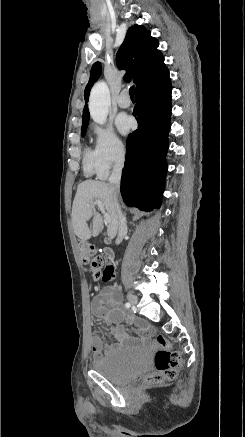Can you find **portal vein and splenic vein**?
Instances as JSON below:
<instances>
[{
    "instance_id": "portal-vein-and-splenic-vein-1",
    "label": "portal vein and splenic vein",
    "mask_w": 245,
    "mask_h": 437,
    "mask_svg": "<svg viewBox=\"0 0 245 437\" xmlns=\"http://www.w3.org/2000/svg\"><path fill=\"white\" fill-rule=\"evenodd\" d=\"M95 204L98 206V209L103 213L104 220L106 222H110V216H109V214H107L105 212V209H104V206L102 205V202L100 200H96ZM93 206H94V204H93Z\"/></svg>"
}]
</instances>
